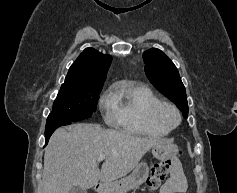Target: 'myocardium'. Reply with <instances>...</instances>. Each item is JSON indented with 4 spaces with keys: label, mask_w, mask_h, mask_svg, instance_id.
I'll use <instances>...</instances> for the list:
<instances>
[{
    "label": "myocardium",
    "mask_w": 237,
    "mask_h": 193,
    "mask_svg": "<svg viewBox=\"0 0 237 193\" xmlns=\"http://www.w3.org/2000/svg\"><path fill=\"white\" fill-rule=\"evenodd\" d=\"M170 111L175 116V121L173 123H169L166 120V112ZM152 120L159 126L171 131L179 126L181 123L182 117L179 109L172 103L169 102H160L156 105L151 113Z\"/></svg>",
    "instance_id": "1"
}]
</instances>
